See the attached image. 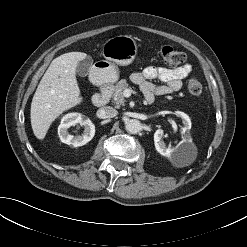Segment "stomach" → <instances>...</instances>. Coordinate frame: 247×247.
I'll use <instances>...</instances> for the list:
<instances>
[{"label":"stomach","instance_id":"stomach-1","mask_svg":"<svg viewBox=\"0 0 247 247\" xmlns=\"http://www.w3.org/2000/svg\"><path fill=\"white\" fill-rule=\"evenodd\" d=\"M137 54V44L132 36L119 35L108 39L102 48L105 60L94 66L93 75L100 84L114 83L119 78L118 65L132 63Z\"/></svg>","mask_w":247,"mask_h":247}]
</instances>
